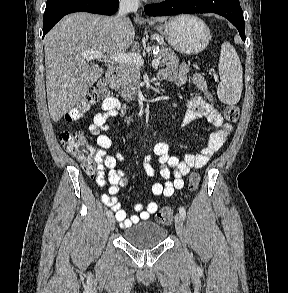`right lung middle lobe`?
Here are the masks:
<instances>
[{"label":"right lung middle lobe","instance_id":"dd1d6c3e","mask_svg":"<svg viewBox=\"0 0 288 293\" xmlns=\"http://www.w3.org/2000/svg\"><path fill=\"white\" fill-rule=\"evenodd\" d=\"M58 0H47V3L46 4H50V3H53V2H56Z\"/></svg>","mask_w":288,"mask_h":293}]
</instances>
